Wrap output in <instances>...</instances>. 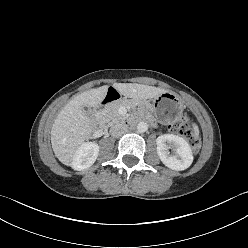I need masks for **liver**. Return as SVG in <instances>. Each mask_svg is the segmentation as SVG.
<instances>
[{
    "label": "liver",
    "mask_w": 248,
    "mask_h": 248,
    "mask_svg": "<svg viewBox=\"0 0 248 248\" xmlns=\"http://www.w3.org/2000/svg\"><path fill=\"white\" fill-rule=\"evenodd\" d=\"M121 95L136 101L157 97L166 90L137 83H116ZM108 86L85 91L71 99L60 111L51 129V144L55 156L64 165H72L73 158L92 132V123L84 107H98L105 98Z\"/></svg>",
    "instance_id": "liver-1"
}]
</instances>
